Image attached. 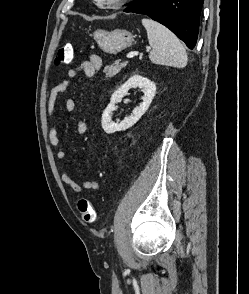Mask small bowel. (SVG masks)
Returning a JSON list of instances; mask_svg holds the SVG:
<instances>
[{
	"instance_id": "c3829d8e",
	"label": "small bowel",
	"mask_w": 249,
	"mask_h": 294,
	"mask_svg": "<svg viewBox=\"0 0 249 294\" xmlns=\"http://www.w3.org/2000/svg\"><path fill=\"white\" fill-rule=\"evenodd\" d=\"M103 61L100 56L91 54L88 60L82 61L74 68L70 69L67 73V78L57 84L50 92L47 102V113L51 119L55 110L58 98L68 92L71 80L74 79L79 73H83L86 77L92 78L101 70ZM65 108L68 112H73L76 108L74 99L67 98L65 101ZM88 123L84 120L77 122L76 130L78 134H86L88 132ZM49 141L52 147L56 149V157L59 161H64L67 157V150L61 145L58 128L55 122H51L48 131ZM60 179L63 184L68 186L72 192L81 193L83 190H98L100 183L96 180H85L81 184L74 180L69 173L62 169L60 171Z\"/></svg>"
}]
</instances>
